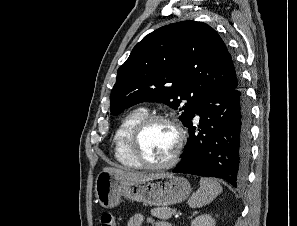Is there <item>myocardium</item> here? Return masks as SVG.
I'll use <instances>...</instances> for the list:
<instances>
[{
	"label": "myocardium",
	"instance_id": "1",
	"mask_svg": "<svg viewBox=\"0 0 297 226\" xmlns=\"http://www.w3.org/2000/svg\"><path fill=\"white\" fill-rule=\"evenodd\" d=\"M158 121L168 123L174 128L177 134V143L172 156L167 161L162 163H150L142 156L140 152V139L144 130L151 123ZM185 142L186 133L177 119L167 114H147L136 123L131 131L129 137V151L131 156L140 165V167L150 170H162L171 168L178 163L182 155Z\"/></svg>",
	"mask_w": 297,
	"mask_h": 226
}]
</instances>
